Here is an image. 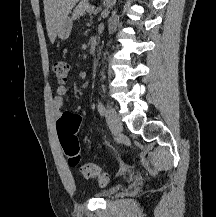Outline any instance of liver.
Instances as JSON below:
<instances>
[{
    "label": "liver",
    "mask_w": 216,
    "mask_h": 217,
    "mask_svg": "<svg viewBox=\"0 0 216 217\" xmlns=\"http://www.w3.org/2000/svg\"><path fill=\"white\" fill-rule=\"evenodd\" d=\"M79 0H43L46 28L50 41L54 43L63 21Z\"/></svg>",
    "instance_id": "1"
}]
</instances>
